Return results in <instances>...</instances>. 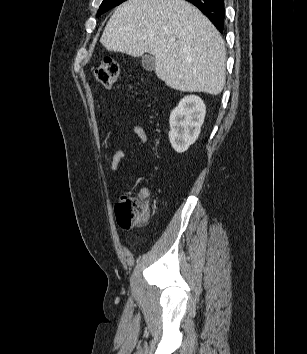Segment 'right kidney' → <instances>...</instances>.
<instances>
[{"label": "right kidney", "mask_w": 307, "mask_h": 354, "mask_svg": "<svg viewBox=\"0 0 307 354\" xmlns=\"http://www.w3.org/2000/svg\"><path fill=\"white\" fill-rule=\"evenodd\" d=\"M205 114V104L196 95L185 96L172 110L169 140L176 152H185L197 140Z\"/></svg>", "instance_id": "right-kidney-1"}]
</instances>
